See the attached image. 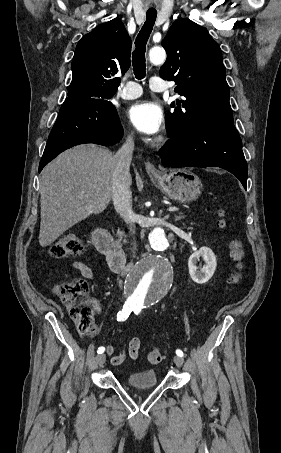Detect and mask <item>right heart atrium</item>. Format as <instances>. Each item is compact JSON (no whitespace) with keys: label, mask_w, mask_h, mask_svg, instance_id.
<instances>
[{"label":"right heart atrium","mask_w":281,"mask_h":453,"mask_svg":"<svg viewBox=\"0 0 281 453\" xmlns=\"http://www.w3.org/2000/svg\"><path fill=\"white\" fill-rule=\"evenodd\" d=\"M124 136L126 140H131L134 136V132L132 130H126Z\"/></svg>","instance_id":"obj_1"}]
</instances>
